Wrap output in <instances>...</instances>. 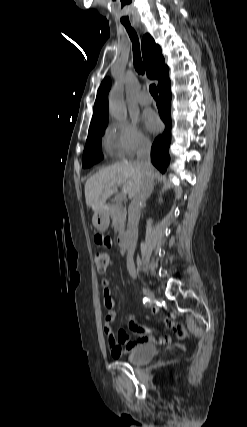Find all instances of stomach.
Returning <instances> with one entry per match:
<instances>
[{"instance_id":"obj_1","label":"stomach","mask_w":247,"mask_h":427,"mask_svg":"<svg viewBox=\"0 0 247 427\" xmlns=\"http://www.w3.org/2000/svg\"><path fill=\"white\" fill-rule=\"evenodd\" d=\"M92 223L98 231H105L108 228L109 215L104 207L93 215Z\"/></svg>"}]
</instances>
